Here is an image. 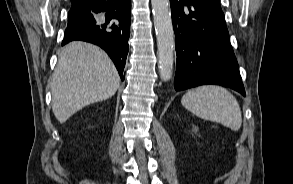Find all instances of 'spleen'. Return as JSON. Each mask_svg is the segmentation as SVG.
I'll return each mask as SVG.
<instances>
[{
  "mask_svg": "<svg viewBox=\"0 0 293 184\" xmlns=\"http://www.w3.org/2000/svg\"><path fill=\"white\" fill-rule=\"evenodd\" d=\"M182 105L196 116L221 123L233 131L242 125V113L236 98L227 89L204 85L186 92Z\"/></svg>",
  "mask_w": 293,
  "mask_h": 184,
  "instance_id": "obj_1",
  "label": "spleen"
}]
</instances>
